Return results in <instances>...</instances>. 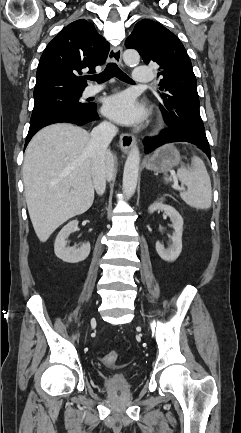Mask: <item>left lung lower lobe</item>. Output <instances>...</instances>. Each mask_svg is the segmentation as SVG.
<instances>
[{
    "label": "left lung lower lobe",
    "mask_w": 241,
    "mask_h": 433,
    "mask_svg": "<svg viewBox=\"0 0 241 433\" xmlns=\"http://www.w3.org/2000/svg\"><path fill=\"white\" fill-rule=\"evenodd\" d=\"M145 142V152L149 153L153 149L167 144L171 142H188L192 143L196 146H198L200 149H202L208 156L209 159H211V152L208 141L202 140L193 134H190L186 131L175 129V128H168L161 132L159 135L154 137H148L144 139Z\"/></svg>",
    "instance_id": "obj_1"
}]
</instances>
